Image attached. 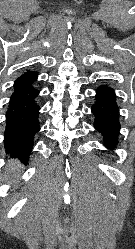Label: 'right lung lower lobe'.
I'll list each match as a JSON object with an SVG mask.
<instances>
[{
  "label": "right lung lower lobe",
  "mask_w": 135,
  "mask_h": 249,
  "mask_svg": "<svg viewBox=\"0 0 135 249\" xmlns=\"http://www.w3.org/2000/svg\"><path fill=\"white\" fill-rule=\"evenodd\" d=\"M37 77L35 72L16 79L6 113L5 151L23 162L29 159L34 136L40 130Z\"/></svg>",
  "instance_id": "obj_1"
}]
</instances>
